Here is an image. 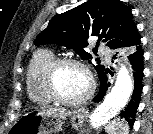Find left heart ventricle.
I'll return each instance as SVG.
<instances>
[{"label":"left heart ventricle","mask_w":153,"mask_h":134,"mask_svg":"<svg viewBox=\"0 0 153 134\" xmlns=\"http://www.w3.org/2000/svg\"><path fill=\"white\" fill-rule=\"evenodd\" d=\"M58 93L66 99L81 98L88 90V80L85 73L75 66L61 67L55 77Z\"/></svg>","instance_id":"left-heart-ventricle-1"}]
</instances>
